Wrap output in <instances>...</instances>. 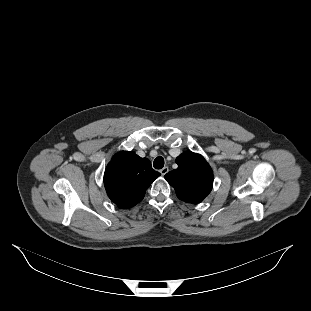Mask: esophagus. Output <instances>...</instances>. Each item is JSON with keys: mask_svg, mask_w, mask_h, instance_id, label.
<instances>
[{"mask_svg": "<svg viewBox=\"0 0 311 311\" xmlns=\"http://www.w3.org/2000/svg\"><path fill=\"white\" fill-rule=\"evenodd\" d=\"M169 171V168L167 166L163 167L161 170H160V173L162 175H165L167 172Z\"/></svg>", "mask_w": 311, "mask_h": 311, "instance_id": "34e87169", "label": "esophagus"}]
</instances>
